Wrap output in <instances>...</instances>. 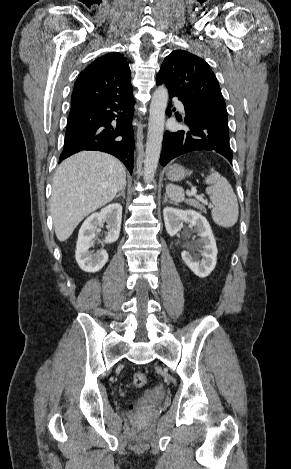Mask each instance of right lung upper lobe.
Here are the masks:
<instances>
[{"label": "right lung upper lobe", "instance_id": "cb5924a9", "mask_svg": "<svg viewBox=\"0 0 291 469\" xmlns=\"http://www.w3.org/2000/svg\"><path fill=\"white\" fill-rule=\"evenodd\" d=\"M111 92L121 96H131L133 92L129 65L117 52L97 58L80 73L74 84L71 106Z\"/></svg>", "mask_w": 291, "mask_h": 469}]
</instances>
